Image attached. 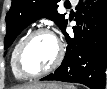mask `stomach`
Instances as JSON below:
<instances>
[{
  "label": "stomach",
  "mask_w": 107,
  "mask_h": 89,
  "mask_svg": "<svg viewBox=\"0 0 107 89\" xmlns=\"http://www.w3.org/2000/svg\"><path fill=\"white\" fill-rule=\"evenodd\" d=\"M32 89H66V88L64 85L51 83V84L45 85L44 87L37 86Z\"/></svg>",
  "instance_id": "0dacf381"
}]
</instances>
